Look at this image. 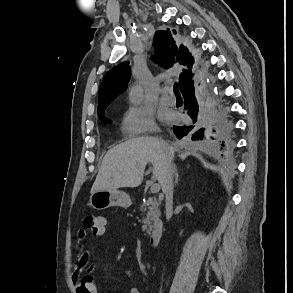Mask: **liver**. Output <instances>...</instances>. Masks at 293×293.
Returning a JSON list of instances; mask_svg holds the SVG:
<instances>
[{
    "mask_svg": "<svg viewBox=\"0 0 293 293\" xmlns=\"http://www.w3.org/2000/svg\"><path fill=\"white\" fill-rule=\"evenodd\" d=\"M173 157L174 148L157 138L130 139L111 148L106 153L91 188V193L138 187L142 183L145 167L148 163H152L153 176L161 184L167 162L169 158L173 159Z\"/></svg>",
    "mask_w": 293,
    "mask_h": 293,
    "instance_id": "6515ba94",
    "label": "liver"
}]
</instances>
